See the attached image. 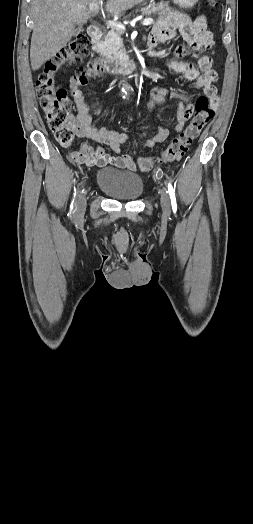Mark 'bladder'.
<instances>
[{
    "mask_svg": "<svg viewBox=\"0 0 253 524\" xmlns=\"http://www.w3.org/2000/svg\"><path fill=\"white\" fill-rule=\"evenodd\" d=\"M97 183L99 189L114 200H136L144 189L143 178L139 174L112 168L101 169Z\"/></svg>",
    "mask_w": 253,
    "mask_h": 524,
    "instance_id": "1",
    "label": "bladder"
}]
</instances>
